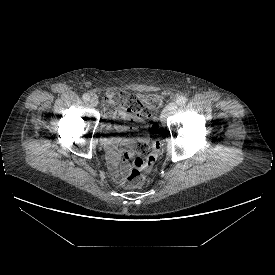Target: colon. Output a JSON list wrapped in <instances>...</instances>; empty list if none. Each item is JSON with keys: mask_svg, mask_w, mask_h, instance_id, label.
Returning <instances> with one entry per match:
<instances>
[{"mask_svg": "<svg viewBox=\"0 0 275 275\" xmlns=\"http://www.w3.org/2000/svg\"><path fill=\"white\" fill-rule=\"evenodd\" d=\"M162 99L157 94H150L143 96L141 98L135 99L132 103L133 107L139 112L140 116L150 120L152 122V130L157 129L155 120V111L161 106ZM160 144L159 142H150L144 138L142 139L136 147L137 154H146L145 159L136 158L134 161V167L128 174L124 181V185L128 188H138L141 187L146 180V173L149 172L158 157Z\"/></svg>", "mask_w": 275, "mask_h": 275, "instance_id": "5ec220e1", "label": "colon"}]
</instances>
